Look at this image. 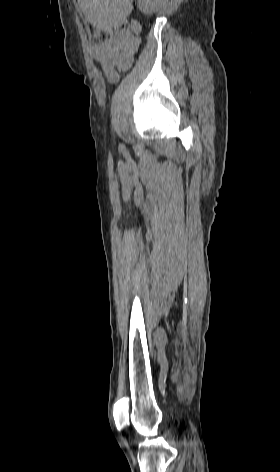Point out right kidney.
Masks as SVG:
<instances>
[{"mask_svg":"<svg viewBox=\"0 0 280 472\" xmlns=\"http://www.w3.org/2000/svg\"><path fill=\"white\" fill-rule=\"evenodd\" d=\"M160 0H138V8L144 14L152 13L158 6Z\"/></svg>","mask_w":280,"mask_h":472,"instance_id":"1","label":"right kidney"}]
</instances>
